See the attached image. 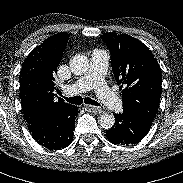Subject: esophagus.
<instances>
[{"mask_svg":"<svg viewBox=\"0 0 183 183\" xmlns=\"http://www.w3.org/2000/svg\"><path fill=\"white\" fill-rule=\"evenodd\" d=\"M84 108L90 112H94L96 114H99L102 112V108L93 106V105H85Z\"/></svg>","mask_w":183,"mask_h":183,"instance_id":"1","label":"esophagus"}]
</instances>
